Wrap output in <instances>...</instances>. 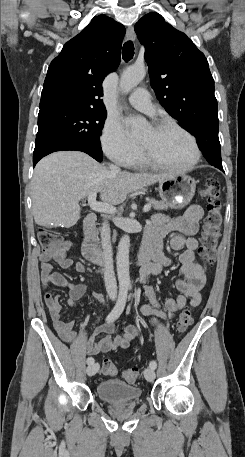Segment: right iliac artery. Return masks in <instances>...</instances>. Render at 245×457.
Listing matches in <instances>:
<instances>
[{"instance_id":"82829eb1","label":"right iliac artery","mask_w":245,"mask_h":457,"mask_svg":"<svg viewBox=\"0 0 245 457\" xmlns=\"http://www.w3.org/2000/svg\"><path fill=\"white\" fill-rule=\"evenodd\" d=\"M127 293H128L127 288H125V287L120 288L117 302H116L114 308L112 309V311L109 313V315L106 318L107 323L113 322L121 315V313L124 310L125 304H126ZM92 363H94V358L88 357L87 364L89 365Z\"/></svg>"}]
</instances>
